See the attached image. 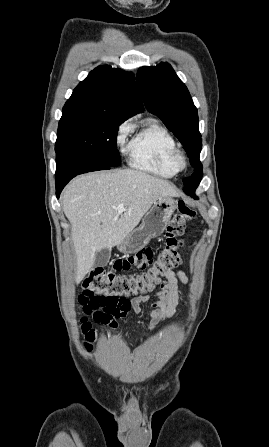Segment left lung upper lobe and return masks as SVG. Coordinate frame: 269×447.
<instances>
[{"mask_svg": "<svg viewBox=\"0 0 269 447\" xmlns=\"http://www.w3.org/2000/svg\"><path fill=\"white\" fill-rule=\"evenodd\" d=\"M140 92L149 112L157 115L184 146L194 173L183 179L186 193L202 178L199 155L202 147L197 109L185 84L168 63L142 67L137 73Z\"/></svg>", "mask_w": 269, "mask_h": 447, "instance_id": "obj_1", "label": "left lung upper lobe"}]
</instances>
